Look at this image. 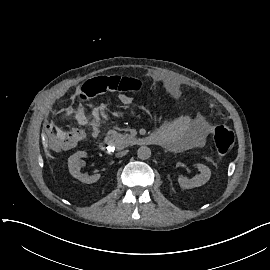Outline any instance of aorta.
<instances>
[{
    "label": "aorta",
    "instance_id": "762f6f07",
    "mask_svg": "<svg viewBox=\"0 0 270 270\" xmlns=\"http://www.w3.org/2000/svg\"><path fill=\"white\" fill-rule=\"evenodd\" d=\"M137 156L140 160H147L151 157V150L148 147H140L137 151Z\"/></svg>",
    "mask_w": 270,
    "mask_h": 270
}]
</instances>
